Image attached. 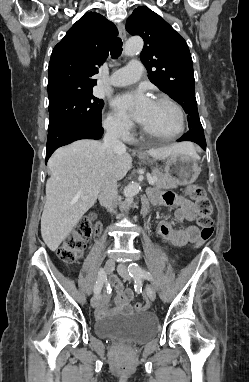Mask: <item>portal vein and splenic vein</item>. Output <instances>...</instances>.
<instances>
[{
	"label": "portal vein and splenic vein",
	"instance_id": "portal-vein-and-splenic-vein-1",
	"mask_svg": "<svg viewBox=\"0 0 249 382\" xmlns=\"http://www.w3.org/2000/svg\"><path fill=\"white\" fill-rule=\"evenodd\" d=\"M156 181H157V178L156 177H152V178L149 179V184L150 185H154Z\"/></svg>",
	"mask_w": 249,
	"mask_h": 382
}]
</instances>
